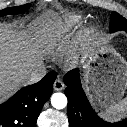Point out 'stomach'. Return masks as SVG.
<instances>
[{"label": "stomach", "mask_w": 127, "mask_h": 127, "mask_svg": "<svg viewBox=\"0 0 127 127\" xmlns=\"http://www.w3.org/2000/svg\"><path fill=\"white\" fill-rule=\"evenodd\" d=\"M84 84L95 103H116L127 89V61L98 42H92L83 60Z\"/></svg>", "instance_id": "1"}]
</instances>
